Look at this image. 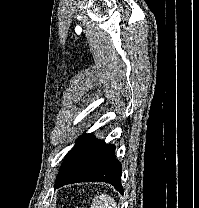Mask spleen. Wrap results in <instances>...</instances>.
Masks as SVG:
<instances>
[{"label":"spleen","instance_id":"spleen-1","mask_svg":"<svg viewBox=\"0 0 199 208\" xmlns=\"http://www.w3.org/2000/svg\"><path fill=\"white\" fill-rule=\"evenodd\" d=\"M91 208H117V203L109 195L102 194L94 198Z\"/></svg>","mask_w":199,"mask_h":208}]
</instances>
